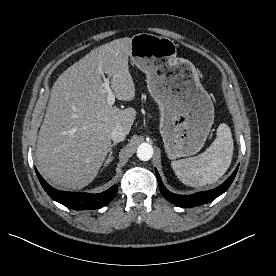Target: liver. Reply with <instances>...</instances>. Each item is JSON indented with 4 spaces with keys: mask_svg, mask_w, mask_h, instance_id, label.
Instances as JSON below:
<instances>
[{
    "mask_svg": "<svg viewBox=\"0 0 276 276\" xmlns=\"http://www.w3.org/2000/svg\"><path fill=\"white\" fill-rule=\"evenodd\" d=\"M131 38L101 45L66 69L55 81L40 127L36 164L53 184L82 189L98 174L111 146V132L128 134L136 118L133 108L107 103L102 75L111 79L118 100L131 101L135 85L128 67Z\"/></svg>",
    "mask_w": 276,
    "mask_h": 276,
    "instance_id": "liver-1",
    "label": "liver"
}]
</instances>
